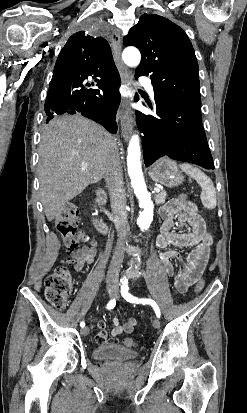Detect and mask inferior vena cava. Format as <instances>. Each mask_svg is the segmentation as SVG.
<instances>
[{"label":"inferior vena cava","mask_w":247,"mask_h":413,"mask_svg":"<svg viewBox=\"0 0 247 413\" xmlns=\"http://www.w3.org/2000/svg\"><path fill=\"white\" fill-rule=\"evenodd\" d=\"M119 138H112V144L109 146L108 160L105 164V180L109 190L111 200V209L114 215V223L117 229V247L112 257L110 267L107 273V281L118 283L119 271L123 261L124 243L127 235V211H126V192L123 182V168L119 154Z\"/></svg>","instance_id":"1"}]
</instances>
